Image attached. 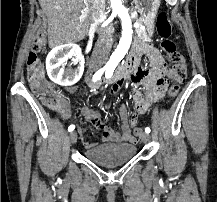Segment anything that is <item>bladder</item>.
<instances>
[{
    "label": "bladder",
    "instance_id": "obj_1",
    "mask_svg": "<svg viewBox=\"0 0 217 202\" xmlns=\"http://www.w3.org/2000/svg\"><path fill=\"white\" fill-rule=\"evenodd\" d=\"M136 153L132 144L101 145L92 150H85L88 159L94 160L101 166H114L127 163Z\"/></svg>",
    "mask_w": 217,
    "mask_h": 202
}]
</instances>
